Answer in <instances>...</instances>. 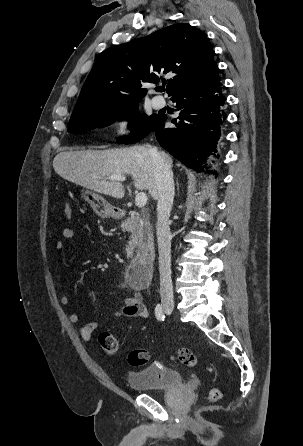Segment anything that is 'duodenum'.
<instances>
[{
  "label": "duodenum",
  "instance_id": "410a0bca",
  "mask_svg": "<svg viewBox=\"0 0 303 446\" xmlns=\"http://www.w3.org/2000/svg\"><path fill=\"white\" fill-rule=\"evenodd\" d=\"M153 274V260L150 257L135 258L131 261L127 277L130 285L135 289H142L149 285Z\"/></svg>",
  "mask_w": 303,
  "mask_h": 446
}]
</instances>
